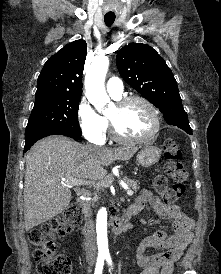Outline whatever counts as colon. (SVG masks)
Segmentation results:
<instances>
[{
	"label": "colon",
	"mask_w": 221,
	"mask_h": 274,
	"mask_svg": "<svg viewBox=\"0 0 221 274\" xmlns=\"http://www.w3.org/2000/svg\"><path fill=\"white\" fill-rule=\"evenodd\" d=\"M163 150L164 171L173 183L168 185L164 176H158L154 181V187L166 204H173L183 196L188 175L180 161L181 152L177 143L172 139H167L163 144ZM81 218L80 205L73 203L64 210L61 216L29 232V241L35 246L33 257L38 274H71L69 258L55 253L52 238L55 235L64 236L70 233L80 224Z\"/></svg>",
	"instance_id": "5ec220e1"
}]
</instances>
